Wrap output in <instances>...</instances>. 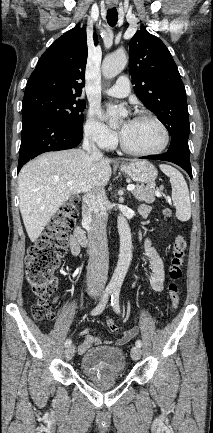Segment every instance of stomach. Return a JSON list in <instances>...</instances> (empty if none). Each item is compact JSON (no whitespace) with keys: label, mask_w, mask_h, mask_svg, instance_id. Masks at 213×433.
<instances>
[{"label":"stomach","mask_w":213,"mask_h":433,"mask_svg":"<svg viewBox=\"0 0 213 433\" xmlns=\"http://www.w3.org/2000/svg\"><path fill=\"white\" fill-rule=\"evenodd\" d=\"M120 170L134 181L146 184H154L158 175L156 168L144 160L123 164Z\"/></svg>","instance_id":"0dacf381"}]
</instances>
